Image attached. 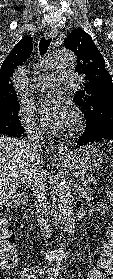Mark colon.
<instances>
[{
    "mask_svg": "<svg viewBox=\"0 0 113 279\" xmlns=\"http://www.w3.org/2000/svg\"><path fill=\"white\" fill-rule=\"evenodd\" d=\"M14 256V244L8 222L0 217V264L1 260Z\"/></svg>",
    "mask_w": 113,
    "mask_h": 279,
    "instance_id": "1",
    "label": "colon"
}]
</instances>
